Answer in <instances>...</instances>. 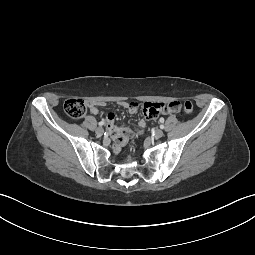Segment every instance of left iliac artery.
<instances>
[{
    "label": "left iliac artery",
    "instance_id": "left-iliac-artery-1",
    "mask_svg": "<svg viewBox=\"0 0 255 255\" xmlns=\"http://www.w3.org/2000/svg\"><path fill=\"white\" fill-rule=\"evenodd\" d=\"M160 127H161V129H164V126H163V125H161Z\"/></svg>",
    "mask_w": 255,
    "mask_h": 255
}]
</instances>
